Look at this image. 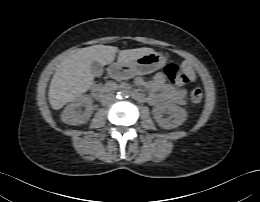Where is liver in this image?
I'll list each match as a JSON object with an SVG mask.
<instances>
[{
  "instance_id": "obj_1",
  "label": "liver",
  "mask_w": 260,
  "mask_h": 202,
  "mask_svg": "<svg viewBox=\"0 0 260 202\" xmlns=\"http://www.w3.org/2000/svg\"><path fill=\"white\" fill-rule=\"evenodd\" d=\"M119 63H129L137 58L155 52L152 48L118 50L114 46L94 45L85 47L63 60L56 70L49 87V103L55 110L85 93L93 84L90 67L93 61L102 66L111 64L116 53Z\"/></svg>"
}]
</instances>
